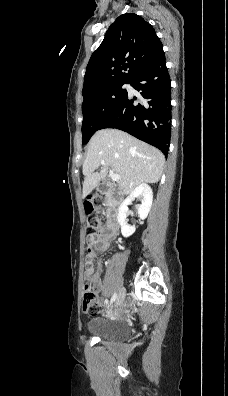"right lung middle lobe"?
Listing matches in <instances>:
<instances>
[{"mask_svg":"<svg viewBox=\"0 0 228 396\" xmlns=\"http://www.w3.org/2000/svg\"><path fill=\"white\" fill-rule=\"evenodd\" d=\"M115 83L85 95L82 103V144L88 143L92 135L101 129L103 122L121 105L127 96L123 85Z\"/></svg>","mask_w":228,"mask_h":396,"instance_id":"1","label":"right lung middle lobe"}]
</instances>
